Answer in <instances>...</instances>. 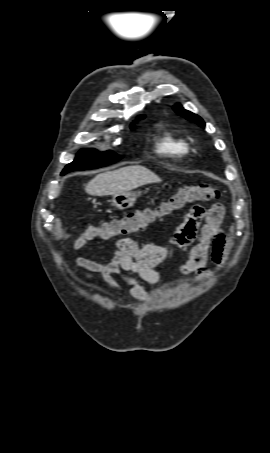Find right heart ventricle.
I'll return each instance as SVG.
<instances>
[{"mask_svg": "<svg viewBox=\"0 0 270 453\" xmlns=\"http://www.w3.org/2000/svg\"><path fill=\"white\" fill-rule=\"evenodd\" d=\"M156 150L165 156L179 157L189 152L190 145L184 138L178 137L171 131L166 130L157 140Z\"/></svg>", "mask_w": 270, "mask_h": 453, "instance_id": "1", "label": "right heart ventricle"}]
</instances>
